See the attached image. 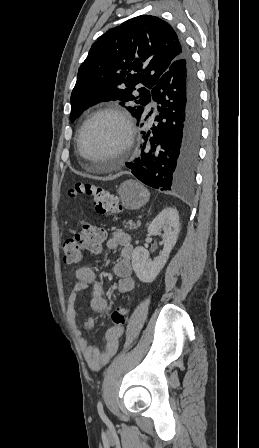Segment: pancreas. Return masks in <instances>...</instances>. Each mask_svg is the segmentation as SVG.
<instances>
[{
  "label": "pancreas",
  "mask_w": 259,
  "mask_h": 448,
  "mask_svg": "<svg viewBox=\"0 0 259 448\" xmlns=\"http://www.w3.org/2000/svg\"><path fill=\"white\" fill-rule=\"evenodd\" d=\"M125 224V222H124ZM128 226H125V228H127V230H136V228H139L140 226V222H137V224H135V222H133V220H129V222H127Z\"/></svg>",
  "instance_id": "pancreas-1"
}]
</instances>
